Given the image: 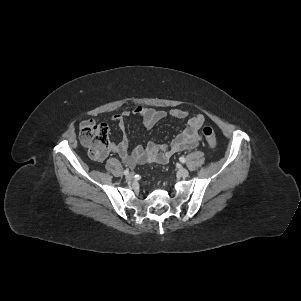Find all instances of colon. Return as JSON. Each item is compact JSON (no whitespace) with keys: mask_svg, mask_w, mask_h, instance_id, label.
I'll list each match as a JSON object with an SVG mask.
<instances>
[{"mask_svg":"<svg viewBox=\"0 0 301 301\" xmlns=\"http://www.w3.org/2000/svg\"><path fill=\"white\" fill-rule=\"evenodd\" d=\"M202 133L212 149L216 148L217 139L214 130L210 126H205ZM80 139L88 148L91 158L101 159L109 149V128L105 123H99L89 120L82 124L80 130Z\"/></svg>","mask_w":301,"mask_h":301,"instance_id":"colon-1","label":"colon"}]
</instances>
